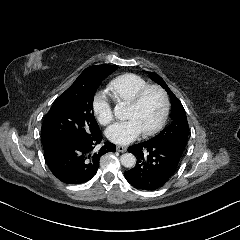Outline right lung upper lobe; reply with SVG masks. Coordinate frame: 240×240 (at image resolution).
Returning <instances> with one entry per match:
<instances>
[{
  "label": "right lung upper lobe",
  "instance_id": "obj_1",
  "mask_svg": "<svg viewBox=\"0 0 240 240\" xmlns=\"http://www.w3.org/2000/svg\"><path fill=\"white\" fill-rule=\"evenodd\" d=\"M96 66L103 67V68H113L114 67V65H96ZM91 67H93V66H91Z\"/></svg>",
  "mask_w": 240,
  "mask_h": 240
}]
</instances>
